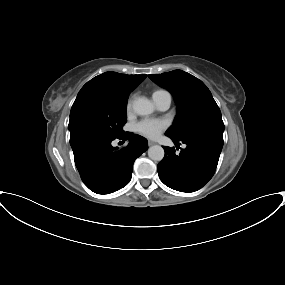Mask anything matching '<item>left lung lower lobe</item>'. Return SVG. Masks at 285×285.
Wrapping results in <instances>:
<instances>
[{
	"instance_id": "left-lung-lower-lobe-1",
	"label": "left lung lower lobe",
	"mask_w": 285,
	"mask_h": 285,
	"mask_svg": "<svg viewBox=\"0 0 285 285\" xmlns=\"http://www.w3.org/2000/svg\"><path fill=\"white\" fill-rule=\"evenodd\" d=\"M170 138L175 144L182 142L187 147L179 155L175 154V149L164 147L165 156L158 164L161 181L181 192H194L202 188L216 170L223 138L210 134L183 140Z\"/></svg>"
}]
</instances>
